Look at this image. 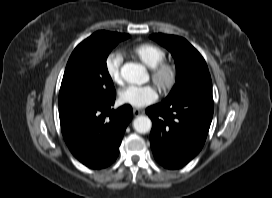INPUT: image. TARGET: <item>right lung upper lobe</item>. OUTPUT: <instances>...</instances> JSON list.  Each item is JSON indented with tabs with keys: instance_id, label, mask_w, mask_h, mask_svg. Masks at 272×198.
I'll list each match as a JSON object with an SVG mask.
<instances>
[{
	"instance_id": "right-lung-upper-lobe-1",
	"label": "right lung upper lobe",
	"mask_w": 272,
	"mask_h": 198,
	"mask_svg": "<svg viewBox=\"0 0 272 198\" xmlns=\"http://www.w3.org/2000/svg\"><path fill=\"white\" fill-rule=\"evenodd\" d=\"M119 33H113V32H106V31H97L95 32L93 35H91L89 38H87L86 40H84L83 42H81L73 51V53L71 54V58L75 56V54L81 49L83 48L85 45L89 44L90 42H92L93 40H96L97 38H101V37H105V36H112V35H116Z\"/></svg>"
}]
</instances>
